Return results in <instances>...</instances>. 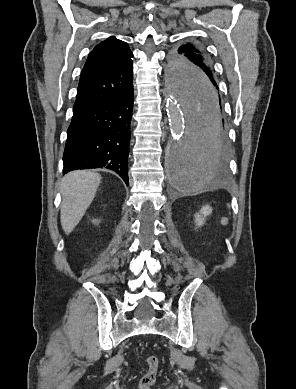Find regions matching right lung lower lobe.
<instances>
[{"mask_svg": "<svg viewBox=\"0 0 296 389\" xmlns=\"http://www.w3.org/2000/svg\"><path fill=\"white\" fill-rule=\"evenodd\" d=\"M133 96L132 83L116 97L73 111L63 154V174L77 169L107 168L129 185Z\"/></svg>", "mask_w": 296, "mask_h": 389, "instance_id": "1", "label": "right lung lower lobe"}]
</instances>
